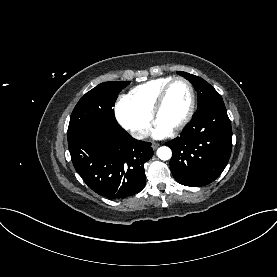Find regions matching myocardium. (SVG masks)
Returning a JSON list of instances; mask_svg holds the SVG:
<instances>
[{"label": "myocardium", "mask_w": 277, "mask_h": 277, "mask_svg": "<svg viewBox=\"0 0 277 277\" xmlns=\"http://www.w3.org/2000/svg\"><path fill=\"white\" fill-rule=\"evenodd\" d=\"M176 82H183L187 85L189 92H190V104H189L188 111H187L185 117L183 118V120L178 125H176L174 128H172V131H174V132H178V131L184 129L186 127V125L191 121V119L194 115V112H195L196 93H195V89H194L192 83L188 79L178 76V77L172 78L168 83H166L165 86L159 92V94L154 102V105L152 107V110H151V115H152L153 119L155 121H157L159 112L161 111V109L164 105L167 94H168L171 86Z\"/></svg>", "instance_id": "myocardium-1"}]
</instances>
